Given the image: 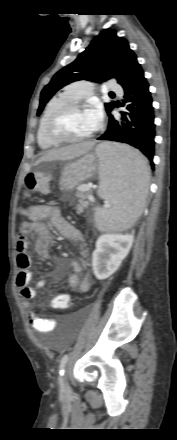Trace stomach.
<instances>
[{
    "label": "stomach",
    "mask_w": 177,
    "mask_h": 440,
    "mask_svg": "<svg viewBox=\"0 0 177 440\" xmlns=\"http://www.w3.org/2000/svg\"><path fill=\"white\" fill-rule=\"evenodd\" d=\"M100 168V161L95 154H86L76 161L65 165L59 181L62 191H71L82 182L92 178Z\"/></svg>",
    "instance_id": "0dacf381"
}]
</instances>
